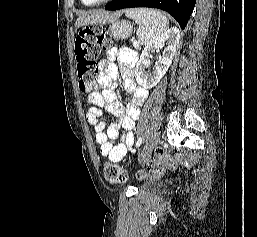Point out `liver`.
<instances>
[{
	"mask_svg": "<svg viewBox=\"0 0 257 237\" xmlns=\"http://www.w3.org/2000/svg\"><path fill=\"white\" fill-rule=\"evenodd\" d=\"M121 14L122 11L116 12L114 14H109L100 11L92 12L90 14L80 16L77 19L75 26L76 29H78L79 27L85 24L112 22L116 20L118 17H120Z\"/></svg>",
	"mask_w": 257,
	"mask_h": 237,
	"instance_id": "liver-1",
	"label": "liver"
}]
</instances>
